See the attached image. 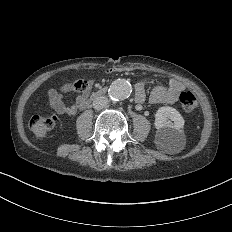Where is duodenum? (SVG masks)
I'll use <instances>...</instances> for the list:
<instances>
[{"mask_svg": "<svg viewBox=\"0 0 232 232\" xmlns=\"http://www.w3.org/2000/svg\"><path fill=\"white\" fill-rule=\"evenodd\" d=\"M107 89L106 88H103V89H100L98 90L97 92L93 93L91 99H95L97 97H100V96H103L105 93H106ZM89 103V100H86L83 104H82V108L83 107H86Z\"/></svg>", "mask_w": 232, "mask_h": 232, "instance_id": "1", "label": "duodenum"}]
</instances>
